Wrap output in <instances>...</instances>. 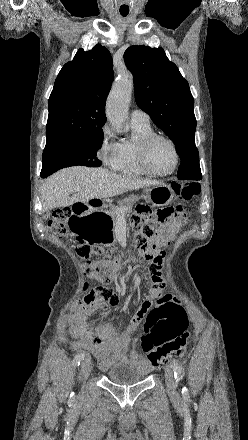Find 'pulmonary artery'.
Instances as JSON below:
<instances>
[{"instance_id": "e3ab8cb5", "label": "pulmonary artery", "mask_w": 248, "mask_h": 440, "mask_svg": "<svg viewBox=\"0 0 248 440\" xmlns=\"http://www.w3.org/2000/svg\"><path fill=\"white\" fill-rule=\"evenodd\" d=\"M130 117L132 123L143 124V125L150 124L149 115L141 109L132 110Z\"/></svg>"}]
</instances>
